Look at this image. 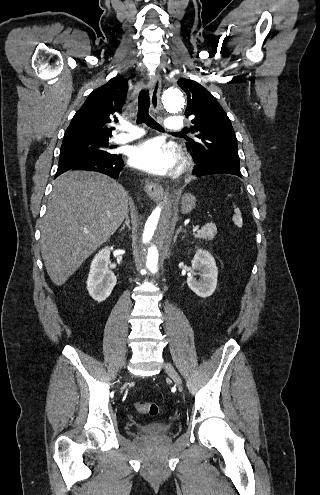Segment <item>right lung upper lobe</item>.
I'll return each instance as SVG.
<instances>
[{
    "label": "right lung upper lobe",
    "instance_id": "1",
    "mask_svg": "<svg viewBox=\"0 0 320 495\" xmlns=\"http://www.w3.org/2000/svg\"><path fill=\"white\" fill-rule=\"evenodd\" d=\"M133 77L116 76L92 91L72 118L64 140L111 137L114 128L110 123L118 121L117 114L121 112L127 95L128 80Z\"/></svg>",
    "mask_w": 320,
    "mask_h": 495
}]
</instances>
